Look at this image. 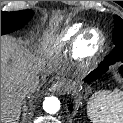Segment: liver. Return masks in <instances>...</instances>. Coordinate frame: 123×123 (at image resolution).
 <instances>
[{
  "instance_id": "1",
  "label": "liver",
  "mask_w": 123,
  "mask_h": 123,
  "mask_svg": "<svg viewBox=\"0 0 123 123\" xmlns=\"http://www.w3.org/2000/svg\"><path fill=\"white\" fill-rule=\"evenodd\" d=\"M59 69L57 63H46L31 54L22 42L1 37V123H17L26 94L22 83L26 78Z\"/></svg>"
}]
</instances>
